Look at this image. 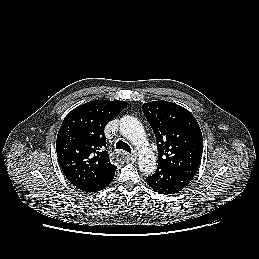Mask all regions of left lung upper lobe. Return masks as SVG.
I'll return each instance as SVG.
<instances>
[{
    "instance_id": "left-lung-upper-lobe-1",
    "label": "left lung upper lobe",
    "mask_w": 259,
    "mask_h": 259,
    "mask_svg": "<svg viewBox=\"0 0 259 259\" xmlns=\"http://www.w3.org/2000/svg\"><path fill=\"white\" fill-rule=\"evenodd\" d=\"M142 110L156 137L158 167L190 182L203 152L202 133L195 117L182 106L164 100L145 103Z\"/></svg>"
}]
</instances>
